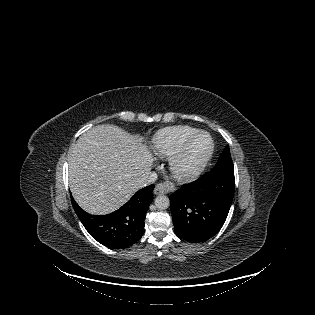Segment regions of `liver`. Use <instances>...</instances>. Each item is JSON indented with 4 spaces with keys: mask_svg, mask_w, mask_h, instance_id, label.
Instances as JSON below:
<instances>
[{
    "mask_svg": "<svg viewBox=\"0 0 315 315\" xmlns=\"http://www.w3.org/2000/svg\"><path fill=\"white\" fill-rule=\"evenodd\" d=\"M152 163L141 138L115 125H98L85 132L69 152L70 190L85 211L108 214L141 188Z\"/></svg>",
    "mask_w": 315,
    "mask_h": 315,
    "instance_id": "6515ba94",
    "label": "liver"
}]
</instances>
